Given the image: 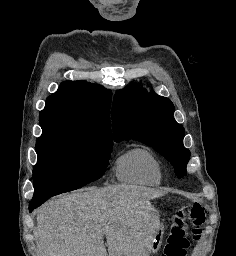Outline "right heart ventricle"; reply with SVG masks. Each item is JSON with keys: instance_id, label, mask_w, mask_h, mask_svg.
Masks as SVG:
<instances>
[{"instance_id": "e07e8e85", "label": "right heart ventricle", "mask_w": 236, "mask_h": 256, "mask_svg": "<svg viewBox=\"0 0 236 256\" xmlns=\"http://www.w3.org/2000/svg\"><path fill=\"white\" fill-rule=\"evenodd\" d=\"M116 176L125 184L157 186L163 181V166L150 150L135 147L119 157Z\"/></svg>"}]
</instances>
